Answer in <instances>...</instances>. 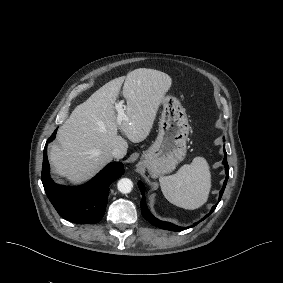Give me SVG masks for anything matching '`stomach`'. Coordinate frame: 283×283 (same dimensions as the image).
Wrapping results in <instances>:
<instances>
[{"label":"stomach","mask_w":283,"mask_h":283,"mask_svg":"<svg viewBox=\"0 0 283 283\" xmlns=\"http://www.w3.org/2000/svg\"><path fill=\"white\" fill-rule=\"evenodd\" d=\"M162 113L158 135L154 143L142 155L141 166L152 178L171 173L187 153L190 132L188 116L180 98L163 93L160 98Z\"/></svg>","instance_id":"stomach-1"}]
</instances>
